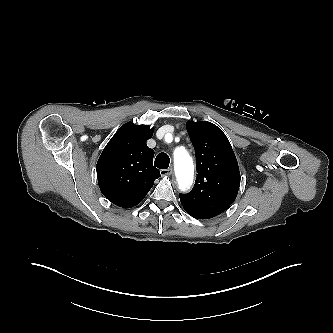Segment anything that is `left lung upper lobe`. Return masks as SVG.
<instances>
[{
    "label": "left lung upper lobe",
    "instance_id": "left-lung-upper-lobe-1",
    "mask_svg": "<svg viewBox=\"0 0 333 333\" xmlns=\"http://www.w3.org/2000/svg\"><path fill=\"white\" fill-rule=\"evenodd\" d=\"M196 153L197 177L193 190L180 194L183 208L216 216L236 199L240 171L233 149L223 131L207 121L187 122Z\"/></svg>",
    "mask_w": 333,
    "mask_h": 333
}]
</instances>
